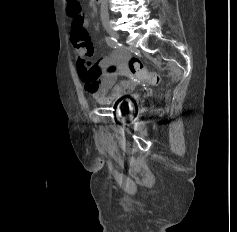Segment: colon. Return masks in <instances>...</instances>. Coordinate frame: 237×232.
Segmentation results:
<instances>
[{
    "label": "colon",
    "instance_id": "obj_1",
    "mask_svg": "<svg viewBox=\"0 0 237 232\" xmlns=\"http://www.w3.org/2000/svg\"><path fill=\"white\" fill-rule=\"evenodd\" d=\"M67 10L69 16L72 18L74 26L78 29H83L82 7L79 0H69ZM128 68L133 75L140 79L152 83H157L159 81L158 75L148 71L143 62L138 58H131L128 62Z\"/></svg>",
    "mask_w": 237,
    "mask_h": 232
}]
</instances>
